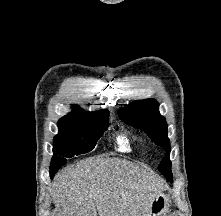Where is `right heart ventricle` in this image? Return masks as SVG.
<instances>
[{
  "label": "right heart ventricle",
  "mask_w": 221,
  "mask_h": 216,
  "mask_svg": "<svg viewBox=\"0 0 221 216\" xmlns=\"http://www.w3.org/2000/svg\"><path fill=\"white\" fill-rule=\"evenodd\" d=\"M116 141L121 150H131L132 140L127 133H121L118 135Z\"/></svg>",
  "instance_id": "obj_1"
}]
</instances>
